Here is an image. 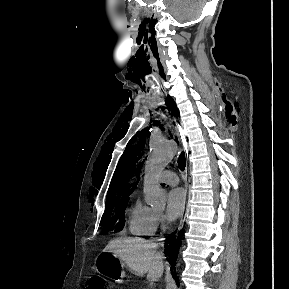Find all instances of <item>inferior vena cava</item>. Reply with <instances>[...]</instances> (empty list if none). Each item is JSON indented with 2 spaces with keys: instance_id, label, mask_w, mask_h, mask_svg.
<instances>
[{
  "instance_id": "602c4592",
  "label": "inferior vena cava",
  "mask_w": 289,
  "mask_h": 289,
  "mask_svg": "<svg viewBox=\"0 0 289 289\" xmlns=\"http://www.w3.org/2000/svg\"><path fill=\"white\" fill-rule=\"evenodd\" d=\"M158 256L163 259V253L162 252H158Z\"/></svg>"
}]
</instances>
